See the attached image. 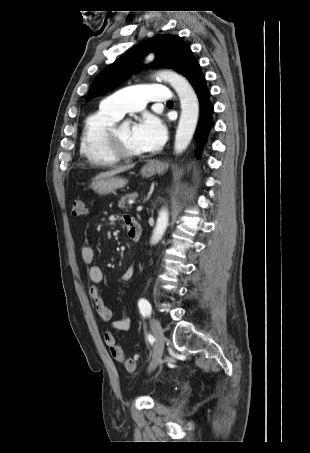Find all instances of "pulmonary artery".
Segmentation results:
<instances>
[{"mask_svg": "<svg viewBox=\"0 0 310 453\" xmlns=\"http://www.w3.org/2000/svg\"><path fill=\"white\" fill-rule=\"evenodd\" d=\"M170 98L169 89L164 85H141L123 88L106 97L101 105L123 116L128 112L141 111L149 101H169Z\"/></svg>", "mask_w": 310, "mask_h": 453, "instance_id": "obj_1", "label": "pulmonary artery"}]
</instances>
